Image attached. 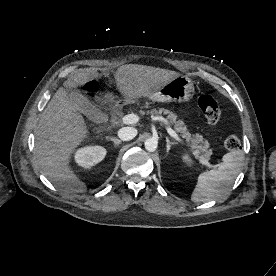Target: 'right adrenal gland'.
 Instances as JSON below:
<instances>
[{"label": "right adrenal gland", "instance_id": "2a0ac1e0", "mask_svg": "<svg viewBox=\"0 0 276 276\" xmlns=\"http://www.w3.org/2000/svg\"><path fill=\"white\" fill-rule=\"evenodd\" d=\"M107 140L112 141L115 144V146H119L122 143V141L117 138L107 137Z\"/></svg>", "mask_w": 276, "mask_h": 276}]
</instances>
